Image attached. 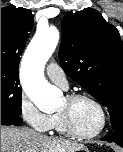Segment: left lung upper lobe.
I'll return each mask as SVG.
<instances>
[{
    "mask_svg": "<svg viewBox=\"0 0 123 152\" xmlns=\"http://www.w3.org/2000/svg\"><path fill=\"white\" fill-rule=\"evenodd\" d=\"M60 65L109 110L123 133V41L95 9L67 13L62 20Z\"/></svg>",
    "mask_w": 123,
    "mask_h": 152,
    "instance_id": "5c2ea615",
    "label": "left lung upper lobe"
}]
</instances>
